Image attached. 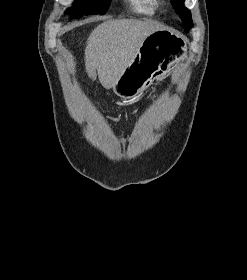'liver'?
Wrapping results in <instances>:
<instances>
[{
    "label": "liver",
    "mask_w": 247,
    "mask_h": 280,
    "mask_svg": "<svg viewBox=\"0 0 247 280\" xmlns=\"http://www.w3.org/2000/svg\"><path fill=\"white\" fill-rule=\"evenodd\" d=\"M165 28L153 21L107 20L90 34L85 49L88 76L106 89L114 87L147 36ZM97 71V74H96Z\"/></svg>",
    "instance_id": "liver-1"
}]
</instances>
